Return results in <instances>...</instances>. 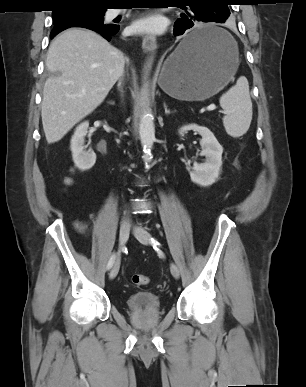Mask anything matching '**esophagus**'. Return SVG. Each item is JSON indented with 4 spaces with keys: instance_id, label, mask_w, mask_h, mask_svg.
Segmentation results:
<instances>
[{
    "instance_id": "obj_1",
    "label": "esophagus",
    "mask_w": 306,
    "mask_h": 387,
    "mask_svg": "<svg viewBox=\"0 0 306 387\" xmlns=\"http://www.w3.org/2000/svg\"><path fill=\"white\" fill-rule=\"evenodd\" d=\"M156 47V38L154 35L146 34L142 39V48L144 51H151Z\"/></svg>"
}]
</instances>
